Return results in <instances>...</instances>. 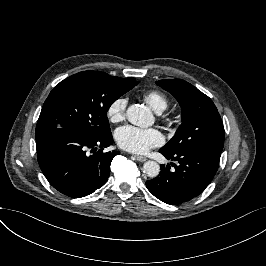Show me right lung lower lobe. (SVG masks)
<instances>
[{
	"instance_id": "98d812e1",
	"label": "right lung lower lobe",
	"mask_w": 266,
	"mask_h": 266,
	"mask_svg": "<svg viewBox=\"0 0 266 266\" xmlns=\"http://www.w3.org/2000/svg\"><path fill=\"white\" fill-rule=\"evenodd\" d=\"M112 143L111 133L92 138L60 128L36 139L37 159L56 190L72 198L84 197L108 180L111 161L119 152L103 149ZM89 148L93 155L89 156Z\"/></svg>"
}]
</instances>
